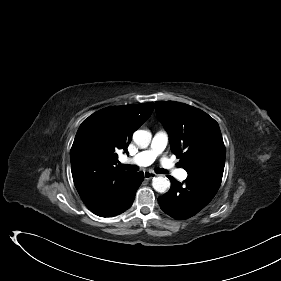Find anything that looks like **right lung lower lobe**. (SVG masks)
Instances as JSON below:
<instances>
[{
	"mask_svg": "<svg viewBox=\"0 0 281 281\" xmlns=\"http://www.w3.org/2000/svg\"><path fill=\"white\" fill-rule=\"evenodd\" d=\"M143 180V172L131 173L109 201L89 209L102 217H111L123 213L132 205L136 191Z\"/></svg>",
	"mask_w": 281,
	"mask_h": 281,
	"instance_id": "right-lung-lower-lobe-1",
	"label": "right lung lower lobe"
}]
</instances>
